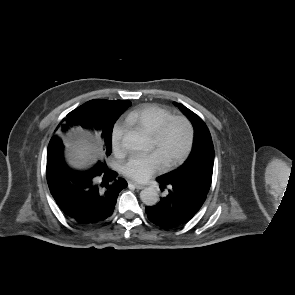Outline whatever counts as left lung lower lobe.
<instances>
[{
  "label": "left lung lower lobe",
  "mask_w": 295,
  "mask_h": 295,
  "mask_svg": "<svg viewBox=\"0 0 295 295\" xmlns=\"http://www.w3.org/2000/svg\"><path fill=\"white\" fill-rule=\"evenodd\" d=\"M160 189L168 194L145 211L151 222L163 228H174L188 222L203 205L210 185L207 182L187 184L176 180L157 178Z\"/></svg>",
  "instance_id": "obj_1"
}]
</instances>
